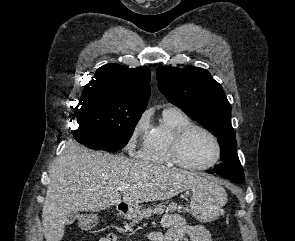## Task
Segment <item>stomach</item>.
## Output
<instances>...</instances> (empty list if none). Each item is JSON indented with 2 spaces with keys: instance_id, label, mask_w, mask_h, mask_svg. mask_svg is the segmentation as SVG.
Returning <instances> with one entry per match:
<instances>
[{
  "instance_id": "obj_1",
  "label": "stomach",
  "mask_w": 295,
  "mask_h": 241,
  "mask_svg": "<svg viewBox=\"0 0 295 241\" xmlns=\"http://www.w3.org/2000/svg\"><path fill=\"white\" fill-rule=\"evenodd\" d=\"M226 202L225 189L216 182L209 180L207 183L191 188L189 211L198 221L207 223L220 216L222 207ZM119 205H117L118 211L126 218H133L140 212V206L137 204H127L125 208Z\"/></svg>"
}]
</instances>
